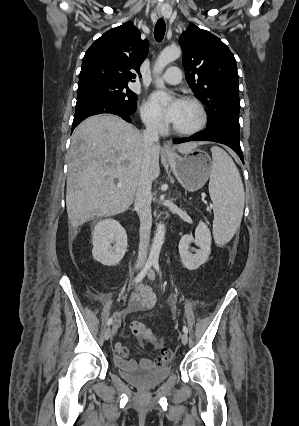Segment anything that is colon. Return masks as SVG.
<instances>
[{"label":"colon","instance_id":"1","mask_svg":"<svg viewBox=\"0 0 299 426\" xmlns=\"http://www.w3.org/2000/svg\"><path fill=\"white\" fill-rule=\"evenodd\" d=\"M131 332L138 338L148 341L157 347H160L161 350H165L166 352L170 351L168 348L162 346V341L159 337H157L151 329L145 326L143 323L139 321H133L130 326Z\"/></svg>","mask_w":299,"mask_h":426}]
</instances>
